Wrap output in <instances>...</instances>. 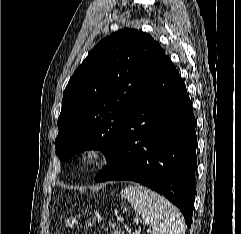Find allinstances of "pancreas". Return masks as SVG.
Here are the masks:
<instances>
[{
	"label": "pancreas",
	"instance_id": "1",
	"mask_svg": "<svg viewBox=\"0 0 241 234\" xmlns=\"http://www.w3.org/2000/svg\"><path fill=\"white\" fill-rule=\"evenodd\" d=\"M113 234H124V233L121 232L120 230H116Z\"/></svg>",
	"mask_w": 241,
	"mask_h": 234
}]
</instances>
